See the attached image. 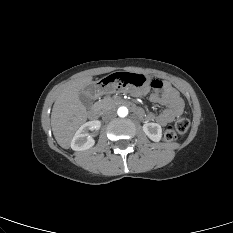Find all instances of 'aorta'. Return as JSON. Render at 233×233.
Masks as SVG:
<instances>
[{
  "label": "aorta",
  "mask_w": 233,
  "mask_h": 233,
  "mask_svg": "<svg viewBox=\"0 0 233 233\" xmlns=\"http://www.w3.org/2000/svg\"><path fill=\"white\" fill-rule=\"evenodd\" d=\"M117 114L119 117H126L128 115V109L124 106L119 107L117 110Z\"/></svg>",
  "instance_id": "obj_1"
}]
</instances>
